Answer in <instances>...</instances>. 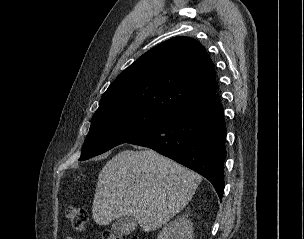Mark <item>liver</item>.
Listing matches in <instances>:
<instances>
[{"label": "liver", "mask_w": 304, "mask_h": 239, "mask_svg": "<svg viewBox=\"0 0 304 239\" xmlns=\"http://www.w3.org/2000/svg\"><path fill=\"white\" fill-rule=\"evenodd\" d=\"M202 177L151 149L124 150L102 168L94 194L96 224L131 216L144 232L165 225L192 199Z\"/></svg>", "instance_id": "1"}]
</instances>
